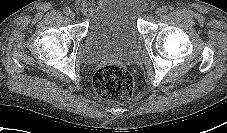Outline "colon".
Listing matches in <instances>:
<instances>
[{
    "label": "colon",
    "instance_id": "colon-1",
    "mask_svg": "<svg viewBox=\"0 0 227 133\" xmlns=\"http://www.w3.org/2000/svg\"><path fill=\"white\" fill-rule=\"evenodd\" d=\"M88 5H96V0H90ZM93 83L96 92L108 100L126 102L133 94V77L128 70L117 64L101 66L94 75Z\"/></svg>",
    "mask_w": 227,
    "mask_h": 133
}]
</instances>
